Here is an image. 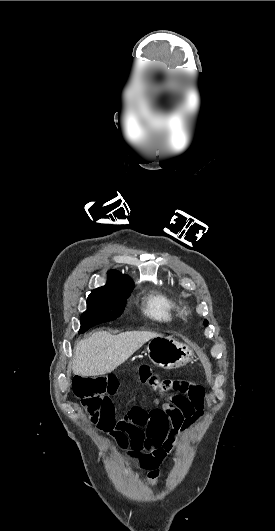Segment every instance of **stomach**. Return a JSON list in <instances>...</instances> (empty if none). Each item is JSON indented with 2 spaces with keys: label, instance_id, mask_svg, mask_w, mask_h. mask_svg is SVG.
<instances>
[{
  "label": "stomach",
  "instance_id": "1",
  "mask_svg": "<svg viewBox=\"0 0 275 531\" xmlns=\"http://www.w3.org/2000/svg\"><path fill=\"white\" fill-rule=\"evenodd\" d=\"M194 353L185 343H178L173 337L158 335L150 339L144 353L146 361H152L161 369H179L193 361Z\"/></svg>",
  "mask_w": 275,
  "mask_h": 531
}]
</instances>
